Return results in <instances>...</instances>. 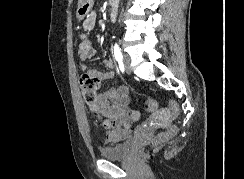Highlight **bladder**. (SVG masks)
<instances>
[{
  "instance_id": "31cf9c89",
  "label": "bladder",
  "mask_w": 244,
  "mask_h": 179,
  "mask_svg": "<svg viewBox=\"0 0 244 179\" xmlns=\"http://www.w3.org/2000/svg\"><path fill=\"white\" fill-rule=\"evenodd\" d=\"M133 141L134 139H129L127 141L113 144L110 147L101 148L100 156L109 160L123 159L132 152Z\"/></svg>"
}]
</instances>
